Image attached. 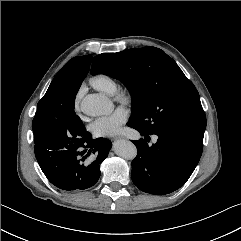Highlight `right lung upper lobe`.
I'll return each instance as SVG.
<instances>
[{
    "mask_svg": "<svg viewBox=\"0 0 241 241\" xmlns=\"http://www.w3.org/2000/svg\"><path fill=\"white\" fill-rule=\"evenodd\" d=\"M92 57L90 55L77 56L69 60L57 73L49 86L47 92L52 91V87L57 82H66L71 87L79 90L82 81L86 77Z\"/></svg>",
    "mask_w": 241,
    "mask_h": 241,
    "instance_id": "1",
    "label": "right lung upper lobe"
}]
</instances>
